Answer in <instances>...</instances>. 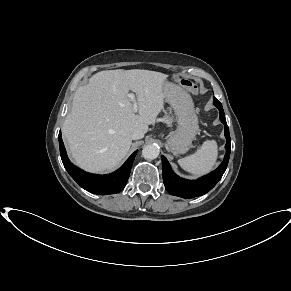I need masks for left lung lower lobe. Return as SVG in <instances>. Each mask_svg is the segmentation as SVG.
<instances>
[{"label": "left lung lower lobe", "mask_w": 291, "mask_h": 291, "mask_svg": "<svg viewBox=\"0 0 291 291\" xmlns=\"http://www.w3.org/2000/svg\"><path fill=\"white\" fill-rule=\"evenodd\" d=\"M214 105L219 109L220 120L225 125V137L227 139V143L225 145L226 154L224 160L220 166L210 174L197 180H186L177 176L171 169L167 159L162 156L163 182L166 190L171 195L182 198H194L197 196H202L209 192L217 184L227 168L231 151L229 128L226 123L223 107L216 98H214Z\"/></svg>", "instance_id": "1"}]
</instances>
